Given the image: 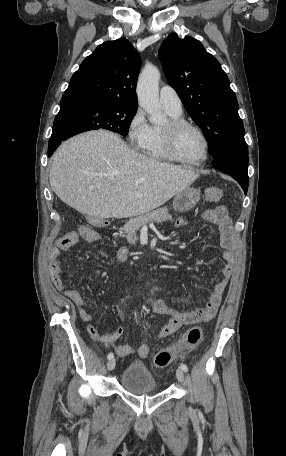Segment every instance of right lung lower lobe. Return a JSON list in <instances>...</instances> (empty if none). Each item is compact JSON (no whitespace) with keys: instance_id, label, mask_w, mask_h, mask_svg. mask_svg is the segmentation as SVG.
<instances>
[{"instance_id":"right-lung-lower-lobe-1","label":"right lung lower lobe","mask_w":286,"mask_h":456,"mask_svg":"<svg viewBox=\"0 0 286 456\" xmlns=\"http://www.w3.org/2000/svg\"><path fill=\"white\" fill-rule=\"evenodd\" d=\"M77 98V96H72V95H63L62 100L60 102L61 108L57 116L55 117L54 120V125H53V132L49 140V146H48V156L50 157L53 152L56 150V148L59 146V144L64 140L63 138H59V130L63 127V124L66 121V118L68 116L69 108L71 104L74 102V100Z\"/></svg>"}]
</instances>
